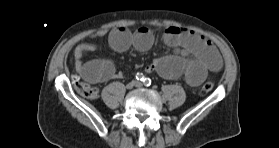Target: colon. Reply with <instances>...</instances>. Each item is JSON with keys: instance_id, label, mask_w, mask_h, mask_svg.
I'll use <instances>...</instances> for the list:
<instances>
[{"instance_id": "colon-1", "label": "colon", "mask_w": 279, "mask_h": 148, "mask_svg": "<svg viewBox=\"0 0 279 148\" xmlns=\"http://www.w3.org/2000/svg\"><path fill=\"white\" fill-rule=\"evenodd\" d=\"M73 85L76 91L83 97L94 99L98 95V90L91 86L90 84L79 80L78 78H73ZM214 83L212 80H207L198 89L199 95H205L213 89Z\"/></svg>"}]
</instances>
